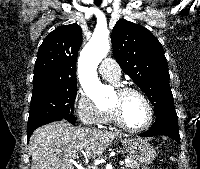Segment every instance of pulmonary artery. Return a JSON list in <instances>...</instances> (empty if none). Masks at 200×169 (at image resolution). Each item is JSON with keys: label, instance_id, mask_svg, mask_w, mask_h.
<instances>
[{"label": "pulmonary artery", "instance_id": "pulmonary-artery-1", "mask_svg": "<svg viewBox=\"0 0 200 169\" xmlns=\"http://www.w3.org/2000/svg\"><path fill=\"white\" fill-rule=\"evenodd\" d=\"M99 73L103 78L109 81L118 82L121 70L115 60L106 58L100 63Z\"/></svg>", "mask_w": 200, "mask_h": 169}]
</instances>
